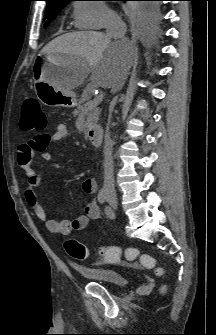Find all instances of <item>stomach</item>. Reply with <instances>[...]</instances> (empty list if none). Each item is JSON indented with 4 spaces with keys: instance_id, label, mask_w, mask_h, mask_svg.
Returning <instances> with one entry per match:
<instances>
[{
    "instance_id": "stomach-1",
    "label": "stomach",
    "mask_w": 216,
    "mask_h": 335,
    "mask_svg": "<svg viewBox=\"0 0 216 335\" xmlns=\"http://www.w3.org/2000/svg\"><path fill=\"white\" fill-rule=\"evenodd\" d=\"M72 58L64 56L46 55L38 57L34 68L35 90L38 99L47 106L72 108L78 105L76 94L73 91L65 92L58 83L63 81L64 74L68 71Z\"/></svg>"
}]
</instances>
